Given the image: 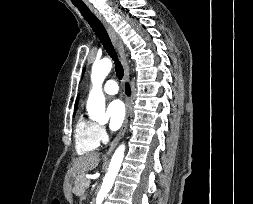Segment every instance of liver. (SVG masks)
<instances>
[{
	"mask_svg": "<svg viewBox=\"0 0 253 204\" xmlns=\"http://www.w3.org/2000/svg\"><path fill=\"white\" fill-rule=\"evenodd\" d=\"M99 155L100 154L98 152H91L74 159L73 165L67 173L66 184L64 187V190L67 192V198H69L70 179L76 178L78 175L96 168L99 164Z\"/></svg>",
	"mask_w": 253,
	"mask_h": 204,
	"instance_id": "obj_1",
	"label": "liver"
}]
</instances>
